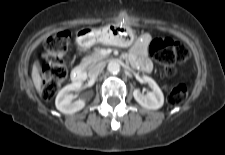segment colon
I'll use <instances>...</instances> for the list:
<instances>
[{
	"mask_svg": "<svg viewBox=\"0 0 225 155\" xmlns=\"http://www.w3.org/2000/svg\"><path fill=\"white\" fill-rule=\"evenodd\" d=\"M71 36L68 31L57 32L48 37L44 44L41 95L45 100L52 99L68 75L64 58L67 54ZM151 56L164 67L167 76L176 74V65L184 63L190 56L189 48L171 38H156L149 44ZM187 96V87L183 83L176 84L170 91L167 101L170 105H178Z\"/></svg>",
	"mask_w": 225,
	"mask_h": 155,
	"instance_id": "1",
	"label": "colon"
}]
</instances>
